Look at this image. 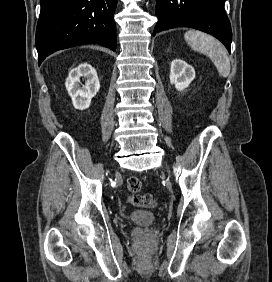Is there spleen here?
Returning <instances> with one entry per match:
<instances>
[{
	"instance_id": "1",
	"label": "spleen",
	"mask_w": 272,
	"mask_h": 282,
	"mask_svg": "<svg viewBox=\"0 0 272 282\" xmlns=\"http://www.w3.org/2000/svg\"><path fill=\"white\" fill-rule=\"evenodd\" d=\"M184 38L194 51L207 55L213 61L222 77L229 75L230 61L225 48L219 41L212 36L194 30L187 31Z\"/></svg>"
}]
</instances>
